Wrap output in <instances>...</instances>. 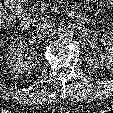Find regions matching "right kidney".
Wrapping results in <instances>:
<instances>
[{
  "mask_svg": "<svg viewBox=\"0 0 113 113\" xmlns=\"http://www.w3.org/2000/svg\"><path fill=\"white\" fill-rule=\"evenodd\" d=\"M24 44L25 42L22 37L14 39L9 45L8 52L6 54L7 65L10 69V72L17 75L33 71V69L38 64V55L35 52H33L26 61L23 60L22 49Z\"/></svg>",
  "mask_w": 113,
  "mask_h": 113,
  "instance_id": "1",
  "label": "right kidney"
}]
</instances>
